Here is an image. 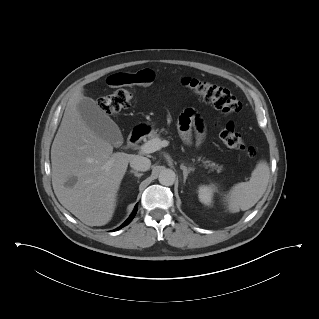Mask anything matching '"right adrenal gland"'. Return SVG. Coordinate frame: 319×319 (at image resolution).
Here are the masks:
<instances>
[{"label":"right adrenal gland","instance_id":"2a0ac1e0","mask_svg":"<svg viewBox=\"0 0 319 319\" xmlns=\"http://www.w3.org/2000/svg\"><path fill=\"white\" fill-rule=\"evenodd\" d=\"M130 173L134 174V176L138 178H140L143 175V173H138V171H134V170H130Z\"/></svg>","mask_w":319,"mask_h":319}]
</instances>
